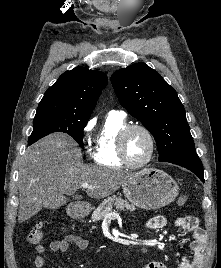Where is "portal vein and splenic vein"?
<instances>
[{
	"label": "portal vein and splenic vein",
	"mask_w": 221,
	"mask_h": 268,
	"mask_svg": "<svg viewBox=\"0 0 221 268\" xmlns=\"http://www.w3.org/2000/svg\"><path fill=\"white\" fill-rule=\"evenodd\" d=\"M81 187L86 189V188H88L90 186H89L88 183H82ZM119 217H120V215L117 212H109L105 216V218H107V219H115V218H119Z\"/></svg>",
	"instance_id": "18ae733b"
}]
</instances>
